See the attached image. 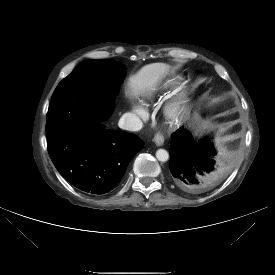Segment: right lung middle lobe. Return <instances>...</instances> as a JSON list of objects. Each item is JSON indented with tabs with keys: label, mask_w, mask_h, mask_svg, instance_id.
<instances>
[{
	"label": "right lung middle lobe",
	"mask_w": 275,
	"mask_h": 275,
	"mask_svg": "<svg viewBox=\"0 0 275 275\" xmlns=\"http://www.w3.org/2000/svg\"><path fill=\"white\" fill-rule=\"evenodd\" d=\"M125 68L112 60H86L56 87L47 113L46 133L83 120H106L114 107L108 94Z\"/></svg>",
	"instance_id": "1"
}]
</instances>
